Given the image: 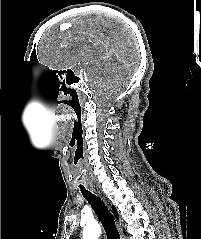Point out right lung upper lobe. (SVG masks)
Masks as SVG:
<instances>
[{
	"label": "right lung upper lobe",
	"mask_w": 201,
	"mask_h": 239,
	"mask_svg": "<svg viewBox=\"0 0 201 239\" xmlns=\"http://www.w3.org/2000/svg\"><path fill=\"white\" fill-rule=\"evenodd\" d=\"M112 209H113V213H114L115 217L118 218V212H117L116 208L114 206H112Z\"/></svg>",
	"instance_id": "right-lung-upper-lobe-1"
}]
</instances>
